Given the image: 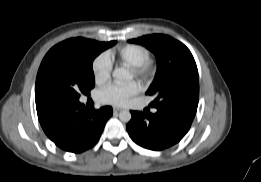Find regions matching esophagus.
<instances>
[{
  "label": "esophagus",
  "instance_id": "34e87169",
  "mask_svg": "<svg viewBox=\"0 0 261 182\" xmlns=\"http://www.w3.org/2000/svg\"><path fill=\"white\" fill-rule=\"evenodd\" d=\"M122 110H124L123 108H119V107H114L113 108V111L114 112H120V111H122Z\"/></svg>",
  "mask_w": 261,
  "mask_h": 182
}]
</instances>
